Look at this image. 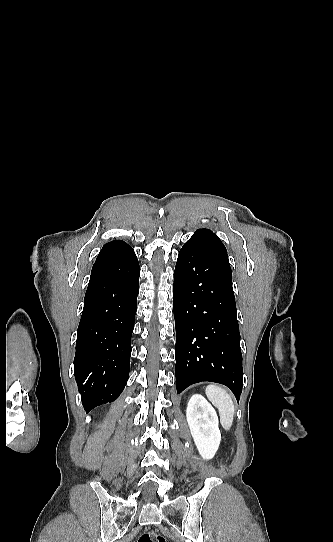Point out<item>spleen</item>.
Segmentation results:
<instances>
[{
  "instance_id": "spleen-1",
  "label": "spleen",
  "mask_w": 333,
  "mask_h": 542,
  "mask_svg": "<svg viewBox=\"0 0 333 542\" xmlns=\"http://www.w3.org/2000/svg\"><path fill=\"white\" fill-rule=\"evenodd\" d=\"M205 394L213 406L217 408L222 428L228 432L233 426L235 414V406L230 394L226 390H223V388L214 386V384L207 386Z\"/></svg>"
}]
</instances>
